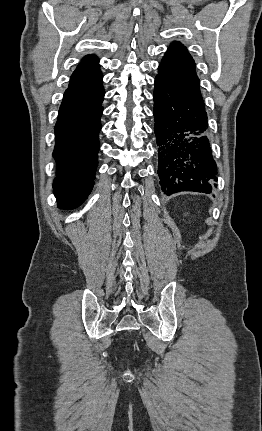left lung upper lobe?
<instances>
[{
	"instance_id": "1",
	"label": "left lung upper lobe",
	"mask_w": 262,
	"mask_h": 431,
	"mask_svg": "<svg viewBox=\"0 0 262 431\" xmlns=\"http://www.w3.org/2000/svg\"><path fill=\"white\" fill-rule=\"evenodd\" d=\"M156 78L164 80L204 105L194 60L181 43L173 42L169 46L159 65Z\"/></svg>"
}]
</instances>
